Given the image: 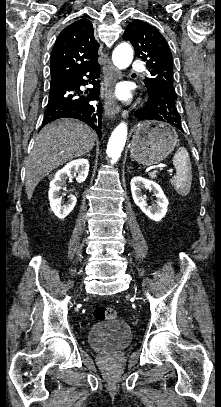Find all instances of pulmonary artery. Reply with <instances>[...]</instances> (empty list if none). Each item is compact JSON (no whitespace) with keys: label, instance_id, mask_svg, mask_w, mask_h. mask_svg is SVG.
Listing matches in <instances>:
<instances>
[{"label":"pulmonary artery","instance_id":"1","mask_svg":"<svg viewBox=\"0 0 221 407\" xmlns=\"http://www.w3.org/2000/svg\"><path fill=\"white\" fill-rule=\"evenodd\" d=\"M143 69H144V66H143V64L141 62H135L132 65V70L135 71V72H142Z\"/></svg>","mask_w":221,"mask_h":407}]
</instances>
